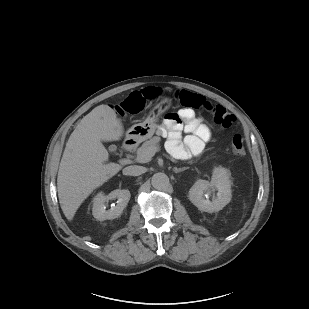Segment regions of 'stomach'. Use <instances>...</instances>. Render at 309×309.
Instances as JSON below:
<instances>
[{
	"label": "stomach",
	"instance_id": "stomach-1",
	"mask_svg": "<svg viewBox=\"0 0 309 309\" xmlns=\"http://www.w3.org/2000/svg\"><path fill=\"white\" fill-rule=\"evenodd\" d=\"M170 105L171 101L167 98H163L152 108L149 116L144 122L135 124L129 128L126 133L127 137L137 141H143L152 137V135L155 133L156 122L159 116L168 110Z\"/></svg>",
	"mask_w": 309,
	"mask_h": 309
}]
</instances>
